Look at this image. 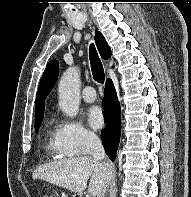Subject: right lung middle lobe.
<instances>
[{"instance_id":"1","label":"right lung middle lobe","mask_w":191,"mask_h":197,"mask_svg":"<svg viewBox=\"0 0 191 197\" xmlns=\"http://www.w3.org/2000/svg\"><path fill=\"white\" fill-rule=\"evenodd\" d=\"M41 121L35 124V131L38 130V128L40 127Z\"/></svg>"}]
</instances>
